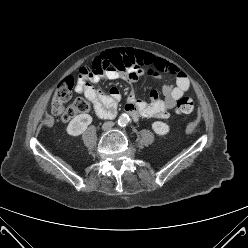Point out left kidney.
Here are the masks:
<instances>
[{
  "label": "left kidney",
  "instance_id": "1",
  "mask_svg": "<svg viewBox=\"0 0 248 248\" xmlns=\"http://www.w3.org/2000/svg\"><path fill=\"white\" fill-rule=\"evenodd\" d=\"M153 131L160 136L166 135L170 131L169 125L162 121H155L152 123Z\"/></svg>",
  "mask_w": 248,
  "mask_h": 248
}]
</instances>
